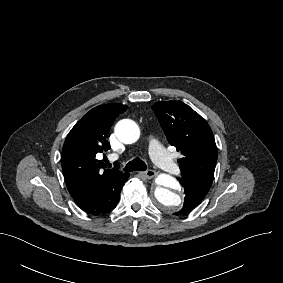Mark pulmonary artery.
<instances>
[{
  "mask_svg": "<svg viewBox=\"0 0 283 283\" xmlns=\"http://www.w3.org/2000/svg\"><path fill=\"white\" fill-rule=\"evenodd\" d=\"M148 146L152 161L158 168L165 172H172L175 169V162L171 158L166 157L161 139L158 136H151L148 139Z\"/></svg>",
  "mask_w": 283,
  "mask_h": 283,
  "instance_id": "obj_1",
  "label": "pulmonary artery"
}]
</instances>
